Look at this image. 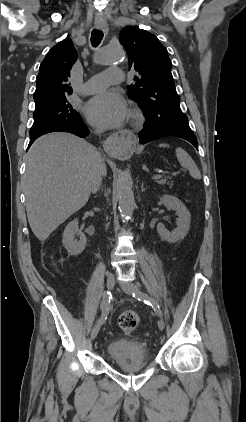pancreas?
I'll return each mask as SVG.
<instances>
[{
  "label": "pancreas",
  "instance_id": "pancreas-1",
  "mask_svg": "<svg viewBox=\"0 0 246 422\" xmlns=\"http://www.w3.org/2000/svg\"><path fill=\"white\" fill-rule=\"evenodd\" d=\"M157 180V183H159V184H166V182H167V179H163V178H157L156 179Z\"/></svg>",
  "mask_w": 246,
  "mask_h": 422
}]
</instances>
